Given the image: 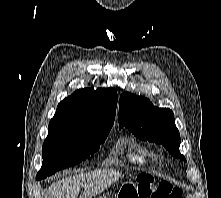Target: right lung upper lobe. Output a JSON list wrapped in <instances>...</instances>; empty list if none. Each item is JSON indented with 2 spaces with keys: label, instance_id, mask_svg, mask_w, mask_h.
Returning a JSON list of instances; mask_svg holds the SVG:
<instances>
[{
  "label": "right lung upper lobe",
  "instance_id": "right-lung-upper-lobe-1",
  "mask_svg": "<svg viewBox=\"0 0 221 198\" xmlns=\"http://www.w3.org/2000/svg\"><path fill=\"white\" fill-rule=\"evenodd\" d=\"M117 106L114 88H84L61 101L49 123V133L86 134L112 127Z\"/></svg>",
  "mask_w": 221,
  "mask_h": 198
}]
</instances>
